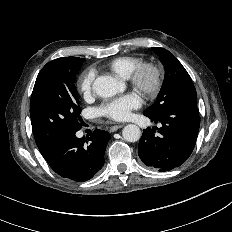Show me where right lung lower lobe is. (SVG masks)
Here are the masks:
<instances>
[{"label":"right lung lower lobe","mask_w":232,"mask_h":232,"mask_svg":"<svg viewBox=\"0 0 232 232\" xmlns=\"http://www.w3.org/2000/svg\"><path fill=\"white\" fill-rule=\"evenodd\" d=\"M75 133L57 141L45 160L61 177L84 182L103 167L110 135L107 131L97 129L86 139L77 138Z\"/></svg>","instance_id":"right-lung-lower-lobe-1"}]
</instances>
